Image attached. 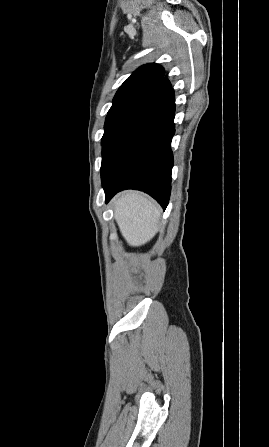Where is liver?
<instances>
[{
  "mask_svg": "<svg viewBox=\"0 0 269 447\" xmlns=\"http://www.w3.org/2000/svg\"><path fill=\"white\" fill-rule=\"evenodd\" d=\"M114 204V218L129 245H142L157 233L161 210L153 200L139 192H122Z\"/></svg>",
  "mask_w": 269,
  "mask_h": 447,
  "instance_id": "6515ba94",
  "label": "liver"
}]
</instances>
